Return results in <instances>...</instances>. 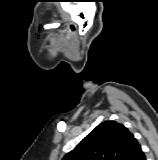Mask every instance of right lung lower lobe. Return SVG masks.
<instances>
[{
    "instance_id": "right-lung-lower-lobe-1",
    "label": "right lung lower lobe",
    "mask_w": 158,
    "mask_h": 160,
    "mask_svg": "<svg viewBox=\"0 0 158 160\" xmlns=\"http://www.w3.org/2000/svg\"><path fill=\"white\" fill-rule=\"evenodd\" d=\"M134 160H146L145 154L142 151L139 155H137Z\"/></svg>"
}]
</instances>
